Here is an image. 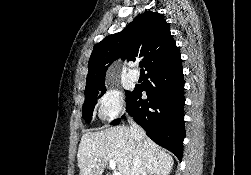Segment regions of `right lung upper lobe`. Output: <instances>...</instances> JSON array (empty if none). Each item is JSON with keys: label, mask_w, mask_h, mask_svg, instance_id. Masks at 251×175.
Wrapping results in <instances>:
<instances>
[{"label": "right lung upper lobe", "mask_w": 251, "mask_h": 175, "mask_svg": "<svg viewBox=\"0 0 251 175\" xmlns=\"http://www.w3.org/2000/svg\"><path fill=\"white\" fill-rule=\"evenodd\" d=\"M180 52L163 14L146 11L124 30L108 35L93 48L89 59L86 88L105 86L108 67L118 58H142L146 70L179 58Z\"/></svg>", "instance_id": "1"}]
</instances>
